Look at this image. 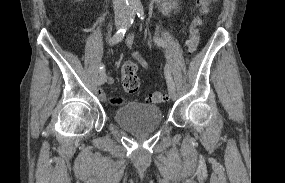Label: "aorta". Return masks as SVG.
Wrapping results in <instances>:
<instances>
[{
	"mask_svg": "<svg viewBox=\"0 0 285 183\" xmlns=\"http://www.w3.org/2000/svg\"><path fill=\"white\" fill-rule=\"evenodd\" d=\"M127 5L130 9H141L142 4L140 0H127Z\"/></svg>",
	"mask_w": 285,
	"mask_h": 183,
	"instance_id": "obj_1",
	"label": "aorta"
}]
</instances>
